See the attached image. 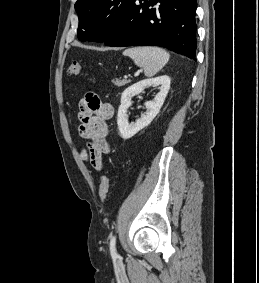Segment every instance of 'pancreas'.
Wrapping results in <instances>:
<instances>
[{
    "label": "pancreas",
    "mask_w": 259,
    "mask_h": 283,
    "mask_svg": "<svg viewBox=\"0 0 259 283\" xmlns=\"http://www.w3.org/2000/svg\"><path fill=\"white\" fill-rule=\"evenodd\" d=\"M112 83L114 85H116L117 87H121V86H124V85L130 83V80H127V79H113Z\"/></svg>",
    "instance_id": "cf45deb5"
}]
</instances>
